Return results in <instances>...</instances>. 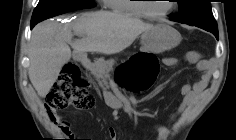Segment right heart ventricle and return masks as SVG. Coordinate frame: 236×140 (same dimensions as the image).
Wrapping results in <instances>:
<instances>
[{"label": "right heart ventricle", "instance_id": "1", "mask_svg": "<svg viewBox=\"0 0 236 140\" xmlns=\"http://www.w3.org/2000/svg\"><path fill=\"white\" fill-rule=\"evenodd\" d=\"M136 0H108L107 5L116 13L126 14L130 16H141Z\"/></svg>", "mask_w": 236, "mask_h": 140}]
</instances>
